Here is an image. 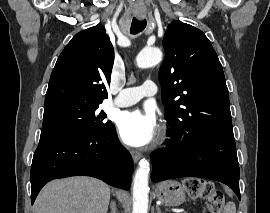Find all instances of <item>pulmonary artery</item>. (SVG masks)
<instances>
[{
    "mask_svg": "<svg viewBox=\"0 0 270 213\" xmlns=\"http://www.w3.org/2000/svg\"><path fill=\"white\" fill-rule=\"evenodd\" d=\"M158 86L152 80H146L141 86L125 88L120 90L119 95L114 99V104L119 107L131 106L140 100L154 96Z\"/></svg>",
    "mask_w": 270,
    "mask_h": 213,
    "instance_id": "e3ab8cb5",
    "label": "pulmonary artery"
}]
</instances>
